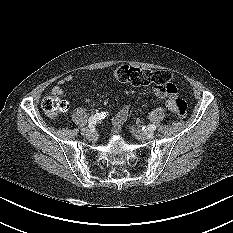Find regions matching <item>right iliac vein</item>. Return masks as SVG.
I'll return each instance as SVG.
<instances>
[{"label":"right iliac vein","instance_id":"obj_1","mask_svg":"<svg viewBox=\"0 0 233 233\" xmlns=\"http://www.w3.org/2000/svg\"><path fill=\"white\" fill-rule=\"evenodd\" d=\"M81 133H82V135L83 136H85V137H90V136H92L93 135V131L90 129V128H83L82 130H81Z\"/></svg>","mask_w":233,"mask_h":233}]
</instances>
